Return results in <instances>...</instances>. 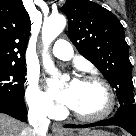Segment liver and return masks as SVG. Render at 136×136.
<instances>
[{
    "mask_svg": "<svg viewBox=\"0 0 136 136\" xmlns=\"http://www.w3.org/2000/svg\"><path fill=\"white\" fill-rule=\"evenodd\" d=\"M87 130H80V133ZM30 134H33L32 129L24 123L0 113V136H28Z\"/></svg>",
    "mask_w": 136,
    "mask_h": 136,
    "instance_id": "1",
    "label": "liver"
}]
</instances>
